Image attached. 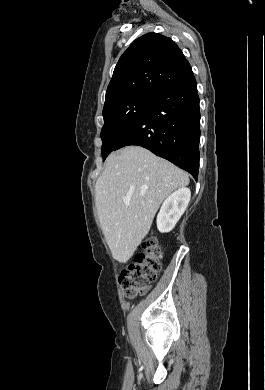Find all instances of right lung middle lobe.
<instances>
[{
  "label": "right lung middle lobe",
  "mask_w": 265,
  "mask_h": 390,
  "mask_svg": "<svg viewBox=\"0 0 265 390\" xmlns=\"http://www.w3.org/2000/svg\"><path fill=\"white\" fill-rule=\"evenodd\" d=\"M156 96L136 94L116 101L103 108L104 125L101 130L102 158L115 147L131 124L144 112Z\"/></svg>",
  "instance_id": "obj_1"
}]
</instances>
